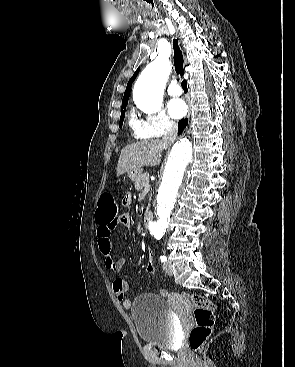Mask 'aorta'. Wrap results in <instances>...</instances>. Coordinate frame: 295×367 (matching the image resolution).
<instances>
[{
	"label": "aorta",
	"mask_w": 295,
	"mask_h": 367,
	"mask_svg": "<svg viewBox=\"0 0 295 367\" xmlns=\"http://www.w3.org/2000/svg\"><path fill=\"white\" fill-rule=\"evenodd\" d=\"M170 73V64L158 58L143 70L137 79L133 99L137 107L147 113H156L162 106V94ZM192 144L187 138L177 141L168 156L157 194V220L150 223L152 236L160 239L168 226L177 196L183 188L192 160Z\"/></svg>",
	"instance_id": "762f6f07"
}]
</instances>
